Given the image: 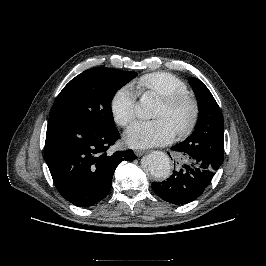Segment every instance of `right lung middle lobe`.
Returning a JSON list of instances; mask_svg holds the SVG:
<instances>
[{
	"instance_id": "right-lung-middle-lobe-1",
	"label": "right lung middle lobe",
	"mask_w": 266,
	"mask_h": 266,
	"mask_svg": "<svg viewBox=\"0 0 266 266\" xmlns=\"http://www.w3.org/2000/svg\"><path fill=\"white\" fill-rule=\"evenodd\" d=\"M137 76L111 68L88 69L73 78L56 98L51 118L69 119L100 128H114L111 101L115 93Z\"/></svg>"
}]
</instances>
